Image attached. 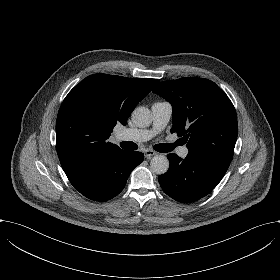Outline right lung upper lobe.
<instances>
[{"instance_id": "obj_1", "label": "right lung upper lobe", "mask_w": 280, "mask_h": 280, "mask_svg": "<svg viewBox=\"0 0 280 280\" xmlns=\"http://www.w3.org/2000/svg\"><path fill=\"white\" fill-rule=\"evenodd\" d=\"M157 79L93 74L66 96L56 120L57 153L74 187L96 165L123 152L107 141L116 124L127 119Z\"/></svg>"}]
</instances>
